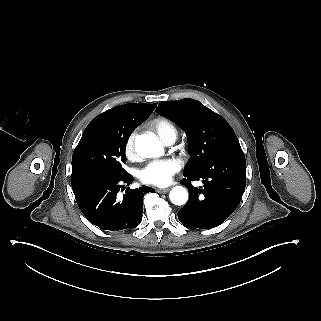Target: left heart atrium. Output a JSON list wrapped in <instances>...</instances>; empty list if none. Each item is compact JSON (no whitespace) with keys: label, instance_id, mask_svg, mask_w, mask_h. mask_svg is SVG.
<instances>
[{"label":"left heart atrium","instance_id":"1","mask_svg":"<svg viewBox=\"0 0 321 321\" xmlns=\"http://www.w3.org/2000/svg\"><path fill=\"white\" fill-rule=\"evenodd\" d=\"M181 167L182 162L177 158L154 160L139 171V178L147 184L166 186Z\"/></svg>","mask_w":321,"mask_h":321}]
</instances>
